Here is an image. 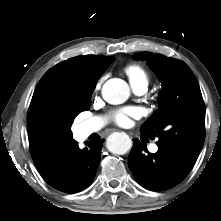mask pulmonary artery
I'll list each match as a JSON object with an SVG mask.
<instances>
[{
	"instance_id": "1",
	"label": "pulmonary artery",
	"mask_w": 221,
	"mask_h": 221,
	"mask_svg": "<svg viewBox=\"0 0 221 221\" xmlns=\"http://www.w3.org/2000/svg\"><path fill=\"white\" fill-rule=\"evenodd\" d=\"M131 86H132L134 93H136L137 95H143L147 91L148 83L140 82L136 84H131ZM104 124H105V120L101 117H97V118H93L87 121L84 124L83 129H84L85 134H90V133L99 131L104 126ZM149 150L152 153H156L158 151V145L156 143L150 144Z\"/></svg>"
}]
</instances>
